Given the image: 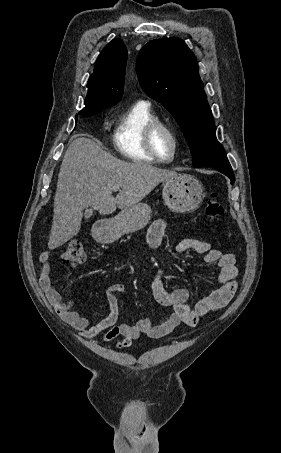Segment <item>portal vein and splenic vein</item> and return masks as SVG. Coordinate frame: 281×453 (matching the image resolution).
Listing matches in <instances>:
<instances>
[{
	"mask_svg": "<svg viewBox=\"0 0 281 453\" xmlns=\"http://www.w3.org/2000/svg\"><path fill=\"white\" fill-rule=\"evenodd\" d=\"M113 190H118L119 186L117 184V186H112Z\"/></svg>",
	"mask_w": 281,
	"mask_h": 453,
	"instance_id": "18ae733b",
	"label": "portal vein and splenic vein"
}]
</instances>
